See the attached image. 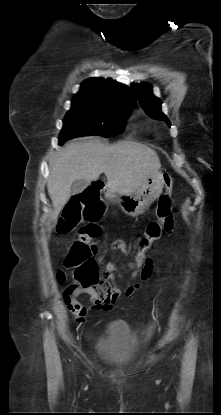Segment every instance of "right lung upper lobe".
I'll use <instances>...</instances> for the list:
<instances>
[{
  "label": "right lung upper lobe",
  "mask_w": 221,
  "mask_h": 415,
  "mask_svg": "<svg viewBox=\"0 0 221 415\" xmlns=\"http://www.w3.org/2000/svg\"><path fill=\"white\" fill-rule=\"evenodd\" d=\"M133 99L130 89L113 79L90 78L82 83L72 102L131 108Z\"/></svg>",
  "instance_id": "1"
}]
</instances>
